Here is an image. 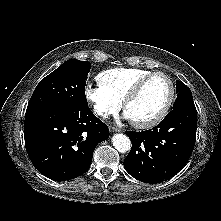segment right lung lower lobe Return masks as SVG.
Instances as JSON below:
<instances>
[{
    "label": "right lung lower lobe",
    "instance_id": "obj_1",
    "mask_svg": "<svg viewBox=\"0 0 221 221\" xmlns=\"http://www.w3.org/2000/svg\"><path fill=\"white\" fill-rule=\"evenodd\" d=\"M108 137V126L89 107L77 112L45 109L25 114L28 156L38 171L54 180H70L87 172L95 147Z\"/></svg>",
    "mask_w": 221,
    "mask_h": 221
}]
</instances>
